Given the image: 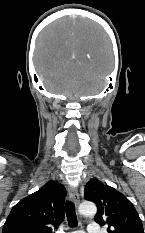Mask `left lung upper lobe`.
Listing matches in <instances>:
<instances>
[{"instance_id":"obj_1","label":"left lung upper lobe","mask_w":145,"mask_h":233,"mask_svg":"<svg viewBox=\"0 0 145 233\" xmlns=\"http://www.w3.org/2000/svg\"><path fill=\"white\" fill-rule=\"evenodd\" d=\"M85 199L97 205L94 220L108 226V233H144L133 204L116 189L91 179L85 186Z\"/></svg>"}]
</instances>
